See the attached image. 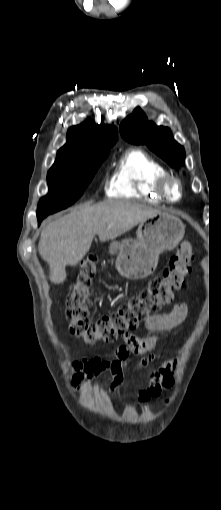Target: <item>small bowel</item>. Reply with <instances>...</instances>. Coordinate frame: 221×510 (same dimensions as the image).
Returning a JSON list of instances; mask_svg holds the SVG:
<instances>
[{"instance_id":"c3829d8e","label":"small bowel","mask_w":221,"mask_h":510,"mask_svg":"<svg viewBox=\"0 0 221 510\" xmlns=\"http://www.w3.org/2000/svg\"><path fill=\"white\" fill-rule=\"evenodd\" d=\"M187 314V303L178 302L171 312L148 317L144 321V326L153 331L168 330L183 323ZM160 341L161 338L158 336L140 337L131 333L125 334L123 344L114 350L112 358L104 359L101 356H94L74 361L71 365L74 371L73 386L77 390H84L97 375L108 370L112 375L109 393L113 396L123 385L125 374L129 369L150 367V384L140 391L138 400L140 403H145L159 397L162 391L169 388L173 382L171 372L173 364L170 361H163L156 368L151 367L156 358V346ZM134 355L139 356L140 359L132 363L131 358Z\"/></svg>"}]
</instances>
